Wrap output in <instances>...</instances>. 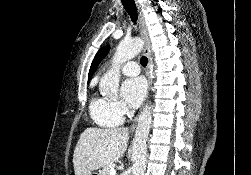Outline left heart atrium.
<instances>
[{
  "mask_svg": "<svg viewBox=\"0 0 251 175\" xmlns=\"http://www.w3.org/2000/svg\"><path fill=\"white\" fill-rule=\"evenodd\" d=\"M146 93L145 81L142 77L134 76L126 79L121 87V95L124 103L129 108H137Z\"/></svg>",
  "mask_w": 251,
  "mask_h": 175,
  "instance_id": "1",
  "label": "left heart atrium"
}]
</instances>
